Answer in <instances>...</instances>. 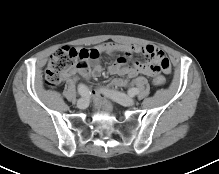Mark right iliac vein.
I'll return each mask as SVG.
<instances>
[{"label": "right iliac vein", "instance_id": "1", "mask_svg": "<svg viewBox=\"0 0 219 174\" xmlns=\"http://www.w3.org/2000/svg\"><path fill=\"white\" fill-rule=\"evenodd\" d=\"M89 100L87 98H81L77 102V107L79 109H85L88 106Z\"/></svg>", "mask_w": 219, "mask_h": 174}]
</instances>
